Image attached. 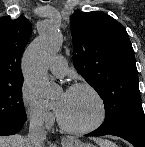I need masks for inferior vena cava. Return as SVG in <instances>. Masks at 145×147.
<instances>
[{
	"instance_id": "inferior-vena-cava-1",
	"label": "inferior vena cava",
	"mask_w": 145,
	"mask_h": 147,
	"mask_svg": "<svg viewBox=\"0 0 145 147\" xmlns=\"http://www.w3.org/2000/svg\"><path fill=\"white\" fill-rule=\"evenodd\" d=\"M46 131L42 118L33 116L29 124V133L25 139L26 147H43Z\"/></svg>"
}]
</instances>
